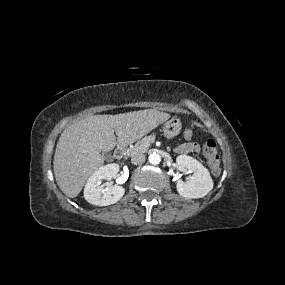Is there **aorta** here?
<instances>
[{"instance_id": "1", "label": "aorta", "mask_w": 285, "mask_h": 285, "mask_svg": "<svg viewBox=\"0 0 285 285\" xmlns=\"http://www.w3.org/2000/svg\"><path fill=\"white\" fill-rule=\"evenodd\" d=\"M148 160L151 164L157 165L161 162V156L158 153H152L149 155Z\"/></svg>"}]
</instances>
